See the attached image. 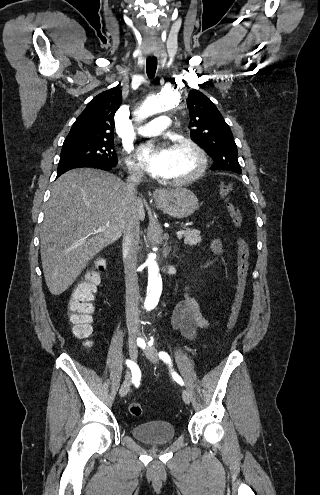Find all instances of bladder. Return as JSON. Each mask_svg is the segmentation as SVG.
Returning a JSON list of instances; mask_svg holds the SVG:
<instances>
[{"label": "bladder", "instance_id": "31cf9c89", "mask_svg": "<svg viewBox=\"0 0 320 495\" xmlns=\"http://www.w3.org/2000/svg\"><path fill=\"white\" fill-rule=\"evenodd\" d=\"M132 434L144 443L164 444L175 438L176 430L174 425L167 421H148L136 424Z\"/></svg>", "mask_w": 320, "mask_h": 495}]
</instances>
